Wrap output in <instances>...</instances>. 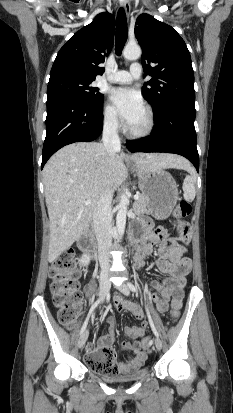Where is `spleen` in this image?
<instances>
[{
  "label": "spleen",
  "instance_id": "spleen-1",
  "mask_svg": "<svg viewBox=\"0 0 233 413\" xmlns=\"http://www.w3.org/2000/svg\"><path fill=\"white\" fill-rule=\"evenodd\" d=\"M183 196L187 201H193L196 195L195 177L193 174L187 175L183 182Z\"/></svg>",
  "mask_w": 233,
  "mask_h": 413
}]
</instances>
